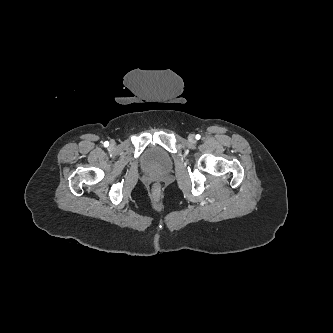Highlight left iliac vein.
<instances>
[{"label": "left iliac vein", "instance_id": "left-iliac-vein-1", "mask_svg": "<svg viewBox=\"0 0 333 333\" xmlns=\"http://www.w3.org/2000/svg\"><path fill=\"white\" fill-rule=\"evenodd\" d=\"M188 140H189L191 143H196L195 135H194V134H190L189 137H188Z\"/></svg>", "mask_w": 333, "mask_h": 333}]
</instances>
